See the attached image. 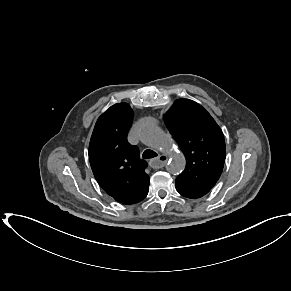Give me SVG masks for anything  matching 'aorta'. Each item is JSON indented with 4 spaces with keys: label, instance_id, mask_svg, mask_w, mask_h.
Masks as SVG:
<instances>
[{
    "label": "aorta",
    "instance_id": "1",
    "mask_svg": "<svg viewBox=\"0 0 291 291\" xmlns=\"http://www.w3.org/2000/svg\"><path fill=\"white\" fill-rule=\"evenodd\" d=\"M140 139L145 145L170 156L167 163V170L170 173L178 174L184 170L186 165L185 157L182 154L175 153L172 138L157 125L147 124L143 126L140 131Z\"/></svg>",
    "mask_w": 291,
    "mask_h": 291
}]
</instances>
